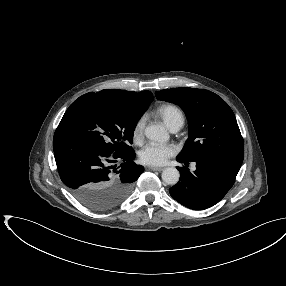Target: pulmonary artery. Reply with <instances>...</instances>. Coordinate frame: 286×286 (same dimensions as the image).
I'll use <instances>...</instances> for the list:
<instances>
[{
    "instance_id": "1",
    "label": "pulmonary artery",
    "mask_w": 286,
    "mask_h": 286,
    "mask_svg": "<svg viewBox=\"0 0 286 286\" xmlns=\"http://www.w3.org/2000/svg\"><path fill=\"white\" fill-rule=\"evenodd\" d=\"M181 126H182V124L179 123V124L173 125L172 127H170V129H171V131L176 132L181 128ZM193 168H195L194 165H193Z\"/></svg>"
}]
</instances>
